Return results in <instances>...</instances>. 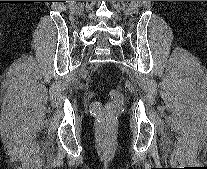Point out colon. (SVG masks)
<instances>
[{
  "label": "colon",
  "instance_id": "1",
  "mask_svg": "<svg viewBox=\"0 0 207 169\" xmlns=\"http://www.w3.org/2000/svg\"><path fill=\"white\" fill-rule=\"evenodd\" d=\"M111 98L112 100L108 102L103 108H99L98 106L95 107L96 110H98L101 114L104 127L107 126L108 121L111 120L117 113L122 95L119 91H113L111 93Z\"/></svg>",
  "mask_w": 207,
  "mask_h": 169
}]
</instances>
